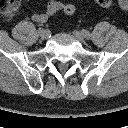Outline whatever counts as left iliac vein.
I'll list each match as a JSON object with an SVG mask.
<instances>
[{"label":"left iliac vein","mask_w":128,"mask_h":128,"mask_svg":"<svg viewBox=\"0 0 128 128\" xmlns=\"http://www.w3.org/2000/svg\"><path fill=\"white\" fill-rule=\"evenodd\" d=\"M73 34L81 43L85 44V42H86L85 37L83 36V34L81 32L75 30V31H73Z\"/></svg>","instance_id":"left-iliac-vein-1"}]
</instances>
